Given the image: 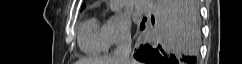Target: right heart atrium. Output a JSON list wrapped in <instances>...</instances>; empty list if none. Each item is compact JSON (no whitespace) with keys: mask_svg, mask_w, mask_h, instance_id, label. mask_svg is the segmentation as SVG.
Segmentation results:
<instances>
[{"mask_svg":"<svg viewBox=\"0 0 242 64\" xmlns=\"http://www.w3.org/2000/svg\"><path fill=\"white\" fill-rule=\"evenodd\" d=\"M104 31L109 46L130 42V20L121 14L111 15L104 24Z\"/></svg>","mask_w":242,"mask_h":64,"instance_id":"d8ad5b80","label":"right heart atrium"}]
</instances>
